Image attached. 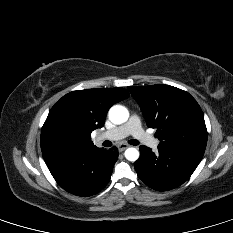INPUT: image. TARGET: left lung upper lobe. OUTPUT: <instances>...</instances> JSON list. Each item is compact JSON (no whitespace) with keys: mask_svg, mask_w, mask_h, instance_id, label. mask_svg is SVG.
<instances>
[{"mask_svg":"<svg viewBox=\"0 0 233 233\" xmlns=\"http://www.w3.org/2000/svg\"><path fill=\"white\" fill-rule=\"evenodd\" d=\"M141 107L149 128H156L159 146L192 147L205 150L207 129L203 112L186 91L157 84L128 87Z\"/></svg>","mask_w":233,"mask_h":233,"instance_id":"obj_1","label":"left lung upper lobe"}]
</instances>
